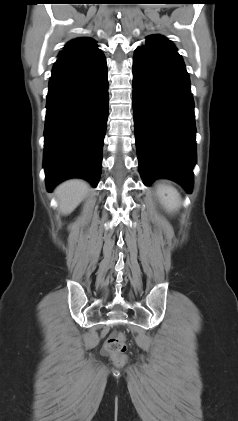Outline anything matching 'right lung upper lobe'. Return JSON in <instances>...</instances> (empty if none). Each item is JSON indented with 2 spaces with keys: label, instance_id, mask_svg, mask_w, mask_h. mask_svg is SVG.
<instances>
[{
  "label": "right lung upper lobe",
  "instance_id": "right-lung-upper-lobe-1",
  "mask_svg": "<svg viewBox=\"0 0 238 421\" xmlns=\"http://www.w3.org/2000/svg\"><path fill=\"white\" fill-rule=\"evenodd\" d=\"M90 54H103L97 44L90 38H77L68 42L59 53V58L87 56Z\"/></svg>",
  "mask_w": 238,
  "mask_h": 421
}]
</instances>
